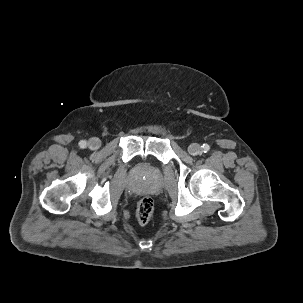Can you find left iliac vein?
<instances>
[{"label": "left iliac vein", "mask_w": 303, "mask_h": 303, "mask_svg": "<svg viewBox=\"0 0 303 303\" xmlns=\"http://www.w3.org/2000/svg\"><path fill=\"white\" fill-rule=\"evenodd\" d=\"M188 152H189L191 155L196 156V155L200 154V152H201V147H200L199 144L193 143V144H191V145L189 146Z\"/></svg>", "instance_id": "obj_1"}]
</instances>
